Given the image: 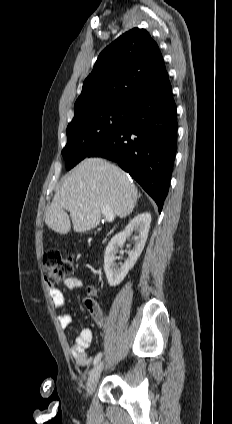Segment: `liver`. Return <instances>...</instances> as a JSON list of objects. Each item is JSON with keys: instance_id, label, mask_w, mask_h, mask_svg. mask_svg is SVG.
I'll return each mask as SVG.
<instances>
[{"instance_id": "1", "label": "liver", "mask_w": 232, "mask_h": 424, "mask_svg": "<svg viewBox=\"0 0 232 424\" xmlns=\"http://www.w3.org/2000/svg\"><path fill=\"white\" fill-rule=\"evenodd\" d=\"M137 198L136 187L121 168L102 158H86L64 177L45 223L53 231L67 234L72 221L74 231L83 233L99 225L102 207L124 218L132 212Z\"/></svg>"}]
</instances>
